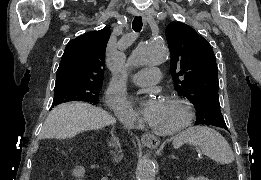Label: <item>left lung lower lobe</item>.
I'll use <instances>...</instances> for the list:
<instances>
[{
    "label": "left lung lower lobe",
    "mask_w": 261,
    "mask_h": 180,
    "mask_svg": "<svg viewBox=\"0 0 261 180\" xmlns=\"http://www.w3.org/2000/svg\"><path fill=\"white\" fill-rule=\"evenodd\" d=\"M222 128H224V129L228 130L226 126H224V127H222Z\"/></svg>",
    "instance_id": "0a47b994"
}]
</instances>
